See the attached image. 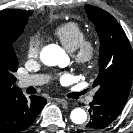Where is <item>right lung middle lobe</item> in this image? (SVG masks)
<instances>
[{
	"instance_id": "dd1d6c3e",
	"label": "right lung middle lobe",
	"mask_w": 133,
	"mask_h": 133,
	"mask_svg": "<svg viewBox=\"0 0 133 133\" xmlns=\"http://www.w3.org/2000/svg\"><path fill=\"white\" fill-rule=\"evenodd\" d=\"M29 16H25L17 26L0 29V85H14L16 78L13 75L18 69V60L13 48V43L20 36L27 24Z\"/></svg>"
}]
</instances>
